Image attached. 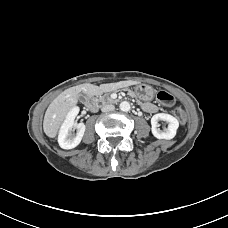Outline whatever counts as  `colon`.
Masks as SVG:
<instances>
[{"label": "colon", "mask_w": 228, "mask_h": 228, "mask_svg": "<svg viewBox=\"0 0 228 228\" xmlns=\"http://www.w3.org/2000/svg\"><path fill=\"white\" fill-rule=\"evenodd\" d=\"M157 99L159 100V102L166 106H172L175 102L174 97L165 91L158 92ZM174 114L180 123L183 124L186 122V113L182 108H176L174 110Z\"/></svg>", "instance_id": "5ec220e1"}]
</instances>
